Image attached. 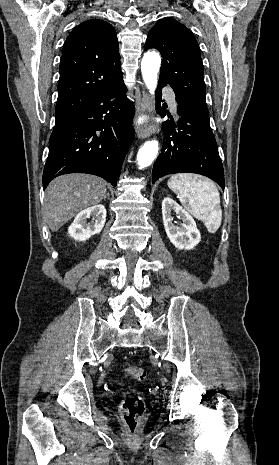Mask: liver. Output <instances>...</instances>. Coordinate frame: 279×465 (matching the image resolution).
I'll return each mask as SVG.
<instances>
[{"label":"liver","mask_w":279,"mask_h":465,"mask_svg":"<svg viewBox=\"0 0 279 465\" xmlns=\"http://www.w3.org/2000/svg\"><path fill=\"white\" fill-rule=\"evenodd\" d=\"M103 179L89 174H66L52 180L44 197V215L52 232L58 231L83 209L106 196Z\"/></svg>","instance_id":"obj_1"}]
</instances>
